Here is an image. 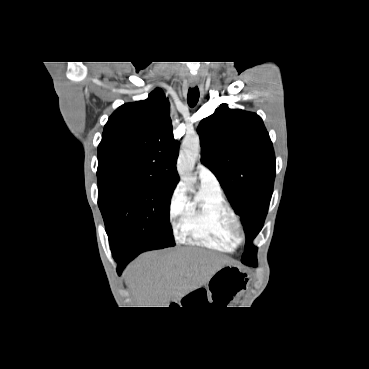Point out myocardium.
I'll return each instance as SVG.
<instances>
[{
  "mask_svg": "<svg viewBox=\"0 0 369 369\" xmlns=\"http://www.w3.org/2000/svg\"><path fill=\"white\" fill-rule=\"evenodd\" d=\"M233 229H234V234L238 238V240L242 239L243 237L242 230L240 226L237 224V222H235L234 220H233Z\"/></svg>",
  "mask_w": 369,
  "mask_h": 369,
  "instance_id": "myocardium-1",
  "label": "myocardium"
}]
</instances>
